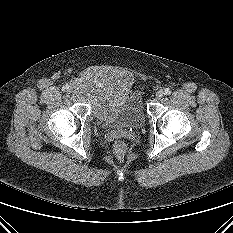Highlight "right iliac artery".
Instances as JSON below:
<instances>
[{"label":"right iliac artery","instance_id":"obj_1","mask_svg":"<svg viewBox=\"0 0 233 233\" xmlns=\"http://www.w3.org/2000/svg\"><path fill=\"white\" fill-rule=\"evenodd\" d=\"M68 89H69V86H68V85H65V86L62 87V91H66V90H68Z\"/></svg>","mask_w":233,"mask_h":233}]
</instances>
